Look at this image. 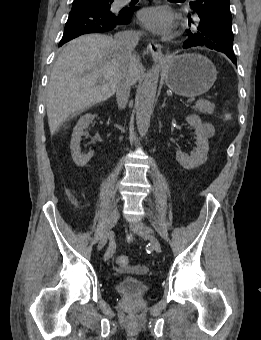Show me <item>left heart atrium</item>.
<instances>
[{"instance_id": "39dd6f15", "label": "left heart atrium", "mask_w": 261, "mask_h": 340, "mask_svg": "<svg viewBox=\"0 0 261 340\" xmlns=\"http://www.w3.org/2000/svg\"><path fill=\"white\" fill-rule=\"evenodd\" d=\"M141 24L154 34H168L173 27L170 11L165 7L146 8L139 15Z\"/></svg>"}]
</instances>
